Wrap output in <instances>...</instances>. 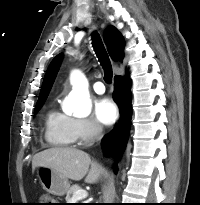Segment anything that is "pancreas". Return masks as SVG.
<instances>
[{
	"label": "pancreas",
	"instance_id": "pancreas-1",
	"mask_svg": "<svg viewBox=\"0 0 200 205\" xmlns=\"http://www.w3.org/2000/svg\"><path fill=\"white\" fill-rule=\"evenodd\" d=\"M81 190V187L79 185H73L69 188V190L67 191V195H66V202L67 203H72V197L75 194L76 191Z\"/></svg>",
	"mask_w": 200,
	"mask_h": 205
}]
</instances>
